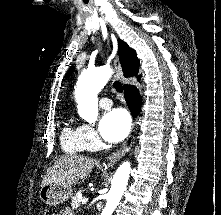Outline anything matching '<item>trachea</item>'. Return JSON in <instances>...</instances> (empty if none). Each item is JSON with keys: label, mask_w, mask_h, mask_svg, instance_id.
I'll use <instances>...</instances> for the list:
<instances>
[{"label": "trachea", "mask_w": 221, "mask_h": 215, "mask_svg": "<svg viewBox=\"0 0 221 215\" xmlns=\"http://www.w3.org/2000/svg\"><path fill=\"white\" fill-rule=\"evenodd\" d=\"M113 87L115 88V90L117 92H122L123 91L122 84L119 81H114Z\"/></svg>", "instance_id": "3493384b"}]
</instances>
